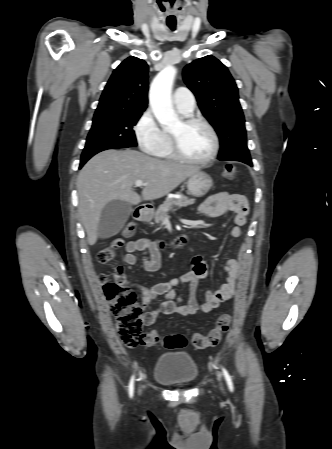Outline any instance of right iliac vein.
<instances>
[{"mask_svg": "<svg viewBox=\"0 0 332 449\" xmlns=\"http://www.w3.org/2000/svg\"><path fill=\"white\" fill-rule=\"evenodd\" d=\"M139 393H141V388H139Z\"/></svg>", "mask_w": 332, "mask_h": 449, "instance_id": "right-iliac-vein-1", "label": "right iliac vein"}]
</instances>
